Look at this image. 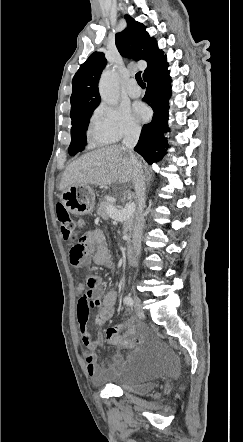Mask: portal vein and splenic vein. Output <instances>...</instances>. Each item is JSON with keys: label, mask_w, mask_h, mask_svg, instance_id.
<instances>
[{"label": "portal vein and splenic vein", "mask_w": 243, "mask_h": 442, "mask_svg": "<svg viewBox=\"0 0 243 442\" xmlns=\"http://www.w3.org/2000/svg\"><path fill=\"white\" fill-rule=\"evenodd\" d=\"M134 211V204L126 205L122 210H117L114 207H108L107 212L109 216L116 221H123L128 219Z\"/></svg>", "instance_id": "portal-vein-and-splenic-vein-1"}]
</instances>
